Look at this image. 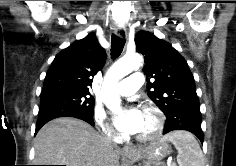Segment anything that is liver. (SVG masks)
<instances>
[{"instance_id": "1", "label": "liver", "mask_w": 236, "mask_h": 166, "mask_svg": "<svg viewBox=\"0 0 236 166\" xmlns=\"http://www.w3.org/2000/svg\"><path fill=\"white\" fill-rule=\"evenodd\" d=\"M35 165L119 166L118 150L88 123L62 117L50 121L34 140Z\"/></svg>"}]
</instances>
